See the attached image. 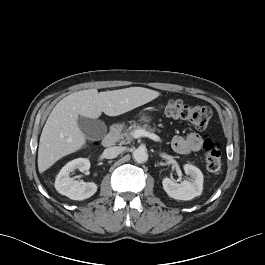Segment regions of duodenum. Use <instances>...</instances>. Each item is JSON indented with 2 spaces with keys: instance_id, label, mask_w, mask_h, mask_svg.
<instances>
[{
  "instance_id": "duodenum-1",
  "label": "duodenum",
  "mask_w": 265,
  "mask_h": 265,
  "mask_svg": "<svg viewBox=\"0 0 265 265\" xmlns=\"http://www.w3.org/2000/svg\"><path fill=\"white\" fill-rule=\"evenodd\" d=\"M120 134V125L115 124L111 127L109 133L104 137L102 144L104 147H112Z\"/></svg>"
}]
</instances>
